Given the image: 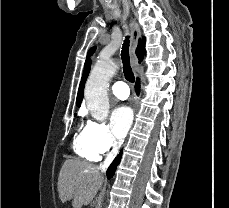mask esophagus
<instances>
[{
	"label": "esophagus",
	"instance_id": "1",
	"mask_svg": "<svg viewBox=\"0 0 229 208\" xmlns=\"http://www.w3.org/2000/svg\"><path fill=\"white\" fill-rule=\"evenodd\" d=\"M130 27H131V42L129 47V56L131 60V65L133 67H137L139 63H138V58L136 56L135 50L138 45V40L141 36V31L139 26L134 20H130Z\"/></svg>",
	"mask_w": 229,
	"mask_h": 208
}]
</instances>
